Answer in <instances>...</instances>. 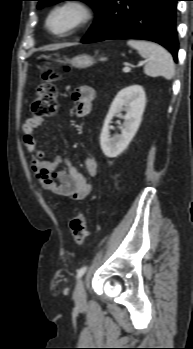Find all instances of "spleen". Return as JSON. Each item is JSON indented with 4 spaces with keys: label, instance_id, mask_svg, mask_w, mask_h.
Listing matches in <instances>:
<instances>
[{
    "label": "spleen",
    "instance_id": "spleen-1",
    "mask_svg": "<svg viewBox=\"0 0 193 349\" xmlns=\"http://www.w3.org/2000/svg\"><path fill=\"white\" fill-rule=\"evenodd\" d=\"M127 44L148 59L144 73L150 77L162 76L171 80L175 74V64L171 54L162 46L143 40H129Z\"/></svg>",
    "mask_w": 193,
    "mask_h": 349
}]
</instances>
